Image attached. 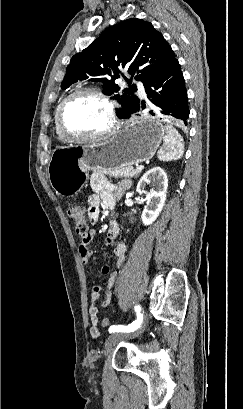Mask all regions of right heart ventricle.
Here are the masks:
<instances>
[{"instance_id": "e07e8e85", "label": "right heart ventricle", "mask_w": 243, "mask_h": 409, "mask_svg": "<svg viewBox=\"0 0 243 409\" xmlns=\"http://www.w3.org/2000/svg\"><path fill=\"white\" fill-rule=\"evenodd\" d=\"M62 102V101H61ZM61 102H59L55 108V113H54V124H55V131L57 134V137L60 141L62 142H67L68 140L61 134L59 128H58V123H57V114H58V110L60 107Z\"/></svg>"}]
</instances>
